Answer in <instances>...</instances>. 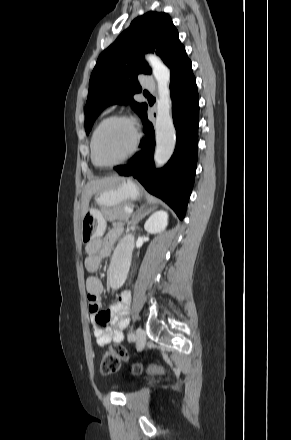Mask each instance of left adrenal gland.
Listing matches in <instances>:
<instances>
[{"instance_id":"1","label":"left adrenal gland","mask_w":291,"mask_h":440,"mask_svg":"<svg viewBox=\"0 0 291 440\" xmlns=\"http://www.w3.org/2000/svg\"><path fill=\"white\" fill-rule=\"evenodd\" d=\"M146 215V213L145 212H141V210H139L138 212H137V214L132 218V220H131V224L132 225H135V224H137L144 216Z\"/></svg>"}]
</instances>
